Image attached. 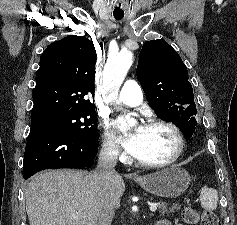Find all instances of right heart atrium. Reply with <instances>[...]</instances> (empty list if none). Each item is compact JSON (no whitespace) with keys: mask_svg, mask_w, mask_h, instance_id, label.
<instances>
[{"mask_svg":"<svg viewBox=\"0 0 237 225\" xmlns=\"http://www.w3.org/2000/svg\"><path fill=\"white\" fill-rule=\"evenodd\" d=\"M102 150L104 154L113 159H124L125 156L120 150L118 142L114 135L106 126L103 127L102 133Z\"/></svg>","mask_w":237,"mask_h":225,"instance_id":"obj_1","label":"right heart atrium"}]
</instances>
